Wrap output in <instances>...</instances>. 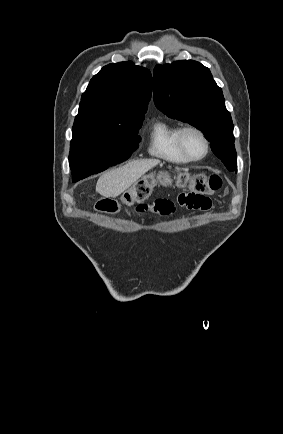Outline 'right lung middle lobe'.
Masks as SVG:
<instances>
[{"mask_svg":"<svg viewBox=\"0 0 283 434\" xmlns=\"http://www.w3.org/2000/svg\"><path fill=\"white\" fill-rule=\"evenodd\" d=\"M144 119L128 123L74 124L69 163L73 182L127 160L138 148Z\"/></svg>","mask_w":283,"mask_h":434,"instance_id":"right-lung-middle-lobe-1","label":"right lung middle lobe"}]
</instances>
